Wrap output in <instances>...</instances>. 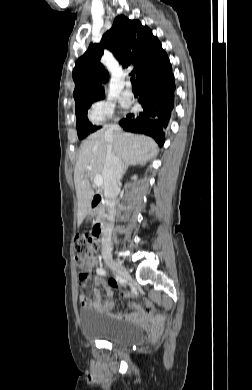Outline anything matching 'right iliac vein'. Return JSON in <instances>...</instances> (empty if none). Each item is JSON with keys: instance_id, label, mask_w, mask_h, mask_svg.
<instances>
[{"instance_id": "obj_1", "label": "right iliac vein", "mask_w": 252, "mask_h": 390, "mask_svg": "<svg viewBox=\"0 0 252 390\" xmlns=\"http://www.w3.org/2000/svg\"><path fill=\"white\" fill-rule=\"evenodd\" d=\"M106 264L116 273L121 275L124 279L129 280L130 274L126 270V268L119 262L113 260L112 258L108 257L105 259Z\"/></svg>"}]
</instances>
